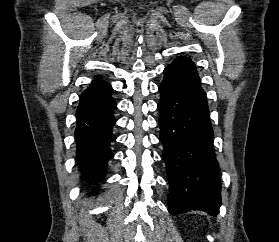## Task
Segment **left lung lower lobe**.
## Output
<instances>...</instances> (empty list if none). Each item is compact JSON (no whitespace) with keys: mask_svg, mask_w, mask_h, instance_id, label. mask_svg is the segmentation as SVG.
Masks as SVG:
<instances>
[{"mask_svg":"<svg viewBox=\"0 0 279 242\" xmlns=\"http://www.w3.org/2000/svg\"><path fill=\"white\" fill-rule=\"evenodd\" d=\"M159 85V140L169 183V212H219L221 182L213 130L199 75L193 62L179 57L164 69Z\"/></svg>","mask_w":279,"mask_h":242,"instance_id":"left-lung-lower-lobe-1","label":"left lung lower lobe"}]
</instances>
